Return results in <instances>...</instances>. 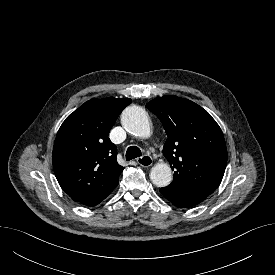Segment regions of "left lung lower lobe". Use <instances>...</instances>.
I'll return each instance as SVG.
<instances>
[{
	"label": "left lung lower lobe",
	"instance_id": "obj_1",
	"mask_svg": "<svg viewBox=\"0 0 275 275\" xmlns=\"http://www.w3.org/2000/svg\"><path fill=\"white\" fill-rule=\"evenodd\" d=\"M160 192L172 204L180 208L192 207L202 202L209 194L195 188H161Z\"/></svg>",
	"mask_w": 275,
	"mask_h": 275
}]
</instances>
